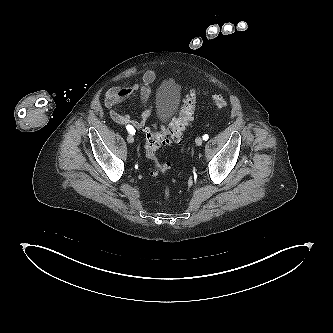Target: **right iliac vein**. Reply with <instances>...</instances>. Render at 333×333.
<instances>
[{
    "instance_id": "1",
    "label": "right iliac vein",
    "mask_w": 333,
    "mask_h": 333,
    "mask_svg": "<svg viewBox=\"0 0 333 333\" xmlns=\"http://www.w3.org/2000/svg\"><path fill=\"white\" fill-rule=\"evenodd\" d=\"M127 141H128L129 143H133V142H134V138H133V136H132V135H128V136H127Z\"/></svg>"
}]
</instances>
